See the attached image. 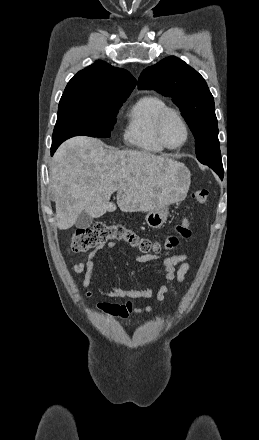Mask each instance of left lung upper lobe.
Listing matches in <instances>:
<instances>
[{
	"mask_svg": "<svg viewBox=\"0 0 259 440\" xmlns=\"http://www.w3.org/2000/svg\"><path fill=\"white\" fill-rule=\"evenodd\" d=\"M138 85L172 98L194 135L197 159L220 174L223 165L214 99L203 77L181 59L170 56L146 68Z\"/></svg>",
	"mask_w": 259,
	"mask_h": 440,
	"instance_id": "5c2ea615",
	"label": "left lung upper lobe"
}]
</instances>
